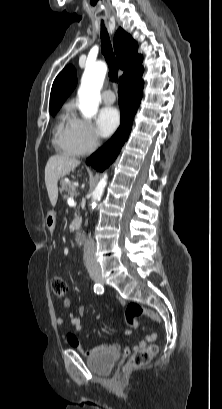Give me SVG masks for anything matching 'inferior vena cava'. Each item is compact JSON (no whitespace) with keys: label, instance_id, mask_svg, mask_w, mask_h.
Wrapping results in <instances>:
<instances>
[{"label":"inferior vena cava","instance_id":"inferior-vena-cava-1","mask_svg":"<svg viewBox=\"0 0 222 409\" xmlns=\"http://www.w3.org/2000/svg\"><path fill=\"white\" fill-rule=\"evenodd\" d=\"M84 263L89 272L99 271L100 266L95 257V244L89 235L84 243Z\"/></svg>","mask_w":222,"mask_h":409}]
</instances>
